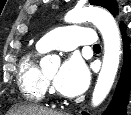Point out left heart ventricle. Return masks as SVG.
Returning <instances> with one entry per match:
<instances>
[{
	"label": "left heart ventricle",
	"mask_w": 131,
	"mask_h": 115,
	"mask_svg": "<svg viewBox=\"0 0 131 115\" xmlns=\"http://www.w3.org/2000/svg\"><path fill=\"white\" fill-rule=\"evenodd\" d=\"M56 75H57V69H54V70L48 72V73L46 74V77H47L49 80L52 81V80H54V78H55Z\"/></svg>",
	"instance_id": "b2bd125f"
}]
</instances>
